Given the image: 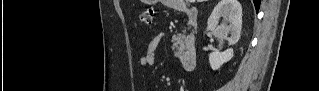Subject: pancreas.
<instances>
[{"instance_id": "1", "label": "pancreas", "mask_w": 319, "mask_h": 91, "mask_svg": "<svg viewBox=\"0 0 319 91\" xmlns=\"http://www.w3.org/2000/svg\"><path fill=\"white\" fill-rule=\"evenodd\" d=\"M179 42H177L176 44H174V49L176 48V52L175 54L177 56L181 55L183 50H184V44L186 43L188 37H186L185 35H179L178 36ZM178 44H181L182 47L179 48Z\"/></svg>"}]
</instances>
